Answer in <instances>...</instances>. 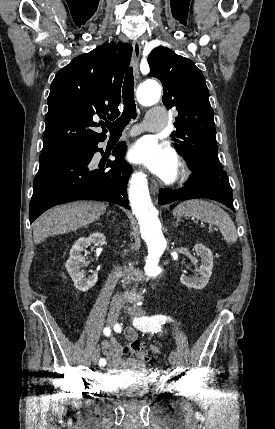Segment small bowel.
Wrapping results in <instances>:
<instances>
[{
	"instance_id": "small-bowel-1",
	"label": "small bowel",
	"mask_w": 275,
	"mask_h": 429,
	"mask_svg": "<svg viewBox=\"0 0 275 429\" xmlns=\"http://www.w3.org/2000/svg\"><path fill=\"white\" fill-rule=\"evenodd\" d=\"M124 336L129 342L127 347L122 346L115 338L101 342L100 347L103 354L105 355V365L107 366L109 372L113 374L119 372H141L144 369V363L142 361L133 358L126 359L124 357V353L127 350L131 351V344L134 341H139L137 333L134 329L127 328L124 331ZM151 349L156 354L159 352L158 348L155 346H152Z\"/></svg>"
}]
</instances>
